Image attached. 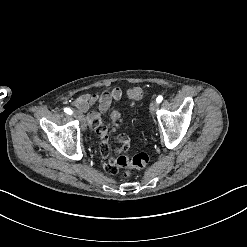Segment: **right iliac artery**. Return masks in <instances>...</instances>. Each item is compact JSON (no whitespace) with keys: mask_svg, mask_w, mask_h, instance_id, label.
I'll list each match as a JSON object with an SVG mask.
<instances>
[{"mask_svg":"<svg viewBox=\"0 0 247 247\" xmlns=\"http://www.w3.org/2000/svg\"><path fill=\"white\" fill-rule=\"evenodd\" d=\"M64 112L71 115L73 113V111L70 108H64Z\"/></svg>","mask_w":247,"mask_h":247,"instance_id":"82829eb1","label":"right iliac artery"}]
</instances>
